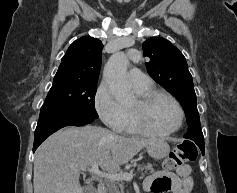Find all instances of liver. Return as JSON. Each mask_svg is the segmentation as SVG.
<instances>
[{
    "mask_svg": "<svg viewBox=\"0 0 237 193\" xmlns=\"http://www.w3.org/2000/svg\"><path fill=\"white\" fill-rule=\"evenodd\" d=\"M157 139L129 138L98 126L65 127L36 150L34 193H83L80 171L97 163L116 173Z\"/></svg>",
    "mask_w": 237,
    "mask_h": 193,
    "instance_id": "6515ba94",
    "label": "liver"
}]
</instances>
